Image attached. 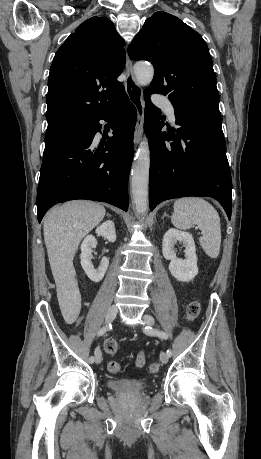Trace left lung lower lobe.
I'll use <instances>...</instances> for the list:
<instances>
[{
	"instance_id": "left-lung-lower-lobe-1",
	"label": "left lung lower lobe",
	"mask_w": 261,
	"mask_h": 459,
	"mask_svg": "<svg viewBox=\"0 0 261 459\" xmlns=\"http://www.w3.org/2000/svg\"><path fill=\"white\" fill-rule=\"evenodd\" d=\"M150 94L145 91V128L151 152L150 210L167 199L210 196L220 202L230 219L232 181L222 118L175 111L179 128L161 132V112L150 102ZM170 140L173 142L165 143Z\"/></svg>"
}]
</instances>
